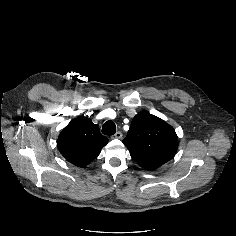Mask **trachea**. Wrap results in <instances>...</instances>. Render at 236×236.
I'll return each instance as SVG.
<instances>
[{
  "instance_id": "3493384b",
  "label": "trachea",
  "mask_w": 236,
  "mask_h": 236,
  "mask_svg": "<svg viewBox=\"0 0 236 236\" xmlns=\"http://www.w3.org/2000/svg\"><path fill=\"white\" fill-rule=\"evenodd\" d=\"M102 133L108 136L115 134L116 133L115 123L111 120L105 122L104 125L102 126Z\"/></svg>"
}]
</instances>
